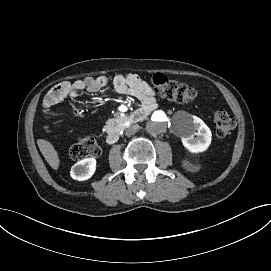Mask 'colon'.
I'll use <instances>...</instances> for the list:
<instances>
[{"instance_id": "5ec220e1", "label": "colon", "mask_w": 271, "mask_h": 271, "mask_svg": "<svg viewBox=\"0 0 271 271\" xmlns=\"http://www.w3.org/2000/svg\"><path fill=\"white\" fill-rule=\"evenodd\" d=\"M153 90L162 97L181 103L193 102L198 94L189 86L169 80L162 74L151 76ZM235 118L226 110H218L214 114L213 131L218 139L225 138L235 128ZM100 147L91 136H85L78 143L74 144L69 154L74 160H82L87 157H97L100 155Z\"/></svg>"}]
</instances>
